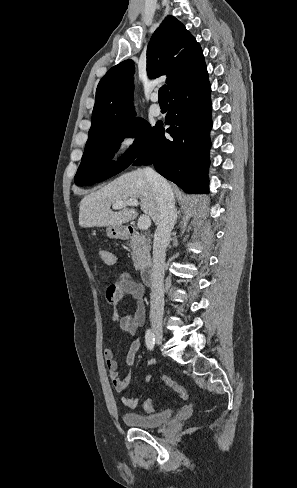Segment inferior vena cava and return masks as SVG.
Instances as JSON below:
<instances>
[{"label":"inferior vena cava","mask_w":297,"mask_h":488,"mask_svg":"<svg viewBox=\"0 0 297 488\" xmlns=\"http://www.w3.org/2000/svg\"><path fill=\"white\" fill-rule=\"evenodd\" d=\"M160 201V220L153 241V269L150 316L162 318L164 312V264L171 231L177 220L174 194L169 183L150 167L143 169Z\"/></svg>","instance_id":"1"}]
</instances>
